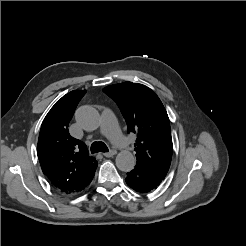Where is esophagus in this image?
<instances>
[{
    "label": "esophagus",
    "mask_w": 246,
    "mask_h": 246,
    "mask_svg": "<svg viewBox=\"0 0 246 246\" xmlns=\"http://www.w3.org/2000/svg\"><path fill=\"white\" fill-rule=\"evenodd\" d=\"M116 150H111L109 152L104 153L103 155L107 158L113 157L116 154Z\"/></svg>",
    "instance_id": "1"
}]
</instances>
